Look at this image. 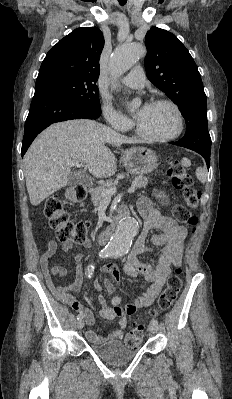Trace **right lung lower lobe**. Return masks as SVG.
I'll return each instance as SVG.
<instances>
[{
	"mask_svg": "<svg viewBox=\"0 0 232 399\" xmlns=\"http://www.w3.org/2000/svg\"><path fill=\"white\" fill-rule=\"evenodd\" d=\"M100 115L101 112H96L57 90L35 88L25 122L21 155L25 154L34 138L49 125L71 119H96Z\"/></svg>",
	"mask_w": 232,
	"mask_h": 399,
	"instance_id": "1",
	"label": "right lung lower lobe"
}]
</instances>
